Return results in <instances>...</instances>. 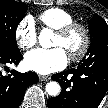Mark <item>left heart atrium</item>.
Listing matches in <instances>:
<instances>
[{"instance_id": "39dd6f15", "label": "left heart atrium", "mask_w": 108, "mask_h": 108, "mask_svg": "<svg viewBox=\"0 0 108 108\" xmlns=\"http://www.w3.org/2000/svg\"><path fill=\"white\" fill-rule=\"evenodd\" d=\"M67 61V54L61 47L52 49L38 48L25 55L27 68L42 75L63 69L67 65Z\"/></svg>"}]
</instances>
